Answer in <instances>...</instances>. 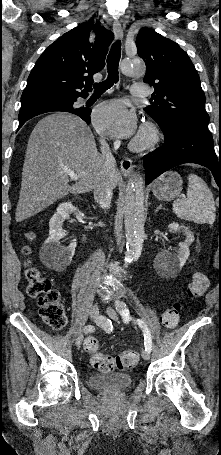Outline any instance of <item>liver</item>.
I'll return each instance as SVG.
<instances>
[{
	"label": "liver",
	"mask_w": 221,
	"mask_h": 455,
	"mask_svg": "<svg viewBox=\"0 0 221 455\" xmlns=\"http://www.w3.org/2000/svg\"><path fill=\"white\" fill-rule=\"evenodd\" d=\"M103 165L94 136L81 118L64 112L44 117L28 140L16 221L38 214L69 193L92 191ZM65 170L73 171L79 179L69 185ZM111 180L114 189L119 181L116 171Z\"/></svg>",
	"instance_id": "liver-1"
}]
</instances>
